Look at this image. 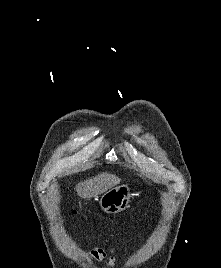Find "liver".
I'll return each mask as SVG.
<instances>
[{
  "mask_svg": "<svg viewBox=\"0 0 221 268\" xmlns=\"http://www.w3.org/2000/svg\"><path fill=\"white\" fill-rule=\"evenodd\" d=\"M121 179L110 173H100L96 177L77 184V194L83 199L97 197L120 183Z\"/></svg>",
  "mask_w": 221,
  "mask_h": 268,
  "instance_id": "1",
  "label": "liver"
}]
</instances>
